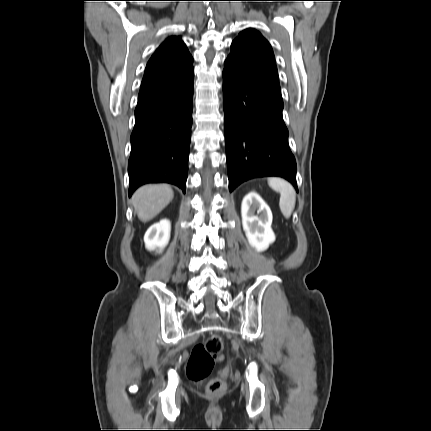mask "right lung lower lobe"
<instances>
[{
	"label": "right lung lower lobe",
	"mask_w": 431,
	"mask_h": 431,
	"mask_svg": "<svg viewBox=\"0 0 431 431\" xmlns=\"http://www.w3.org/2000/svg\"><path fill=\"white\" fill-rule=\"evenodd\" d=\"M193 77L174 91L137 105L128 162L129 196L146 183H170L185 192Z\"/></svg>",
	"instance_id": "right-lung-lower-lobe-1"
}]
</instances>
